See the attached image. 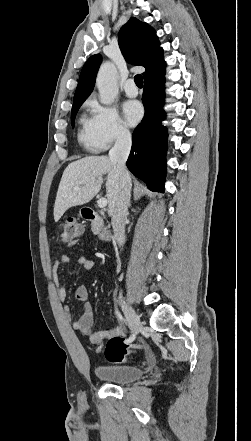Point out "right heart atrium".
Wrapping results in <instances>:
<instances>
[{"instance_id": "obj_1", "label": "right heart atrium", "mask_w": 251, "mask_h": 441, "mask_svg": "<svg viewBox=\"0 0 251 441\" xmlns=\"http://www.w3.org/2000/svg\"><path fill=\"white\" fill-rule=\"evenodd\" d=\"M89 107L92 114L90 118L91 129L100 150L129 137L130 131L116 108L102 105L96 100H91Z\"/></svg>"}]
</instances>
